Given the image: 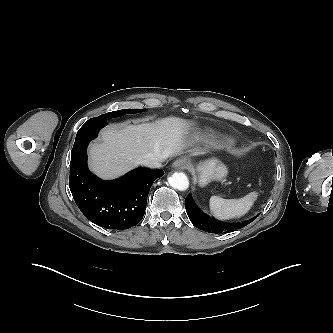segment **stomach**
Here are the masks:
<instances>
[{
    "label": "stomach",
    "mask_w": 333,
    "mask_h": 333,
    "mask_svg": "<svg viewBox=\"0 0 333 333\" xmlns=\"http://www.w3.org/2000/svg\"><path fill=\"white\" fill-rule=\"evenodd\" d=\"M197 171L199 172V184L201 186H205L213 180L221 181L228 173L227 167L217 159L200 162L197 165Z\"/></svg>",
    "instance_id": "stomach-1"
}]
</instances>
